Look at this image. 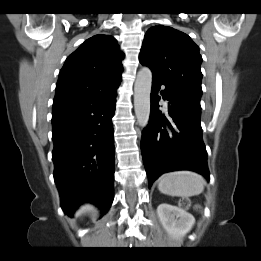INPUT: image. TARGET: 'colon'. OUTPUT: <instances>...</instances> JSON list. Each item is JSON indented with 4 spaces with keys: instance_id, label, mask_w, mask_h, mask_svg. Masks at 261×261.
Instances as JSON below:
<instances>
[{
    "instance_id": "obj_1",
    "label": "colon",
    "mask_w": 261,
    "mask_h": 261,
    "mask_svg": "<svg viewBox=\"0 0 261 261\" xmlns=\"http://www.w3.org/2000/svg\"><path fill=\"white\" fill-rule=\"evenodd\" d=\"M182 206L184 207H187L189 205V201L187 199H184L182 202H181Z\"/></svg>"
}]
</instances>
